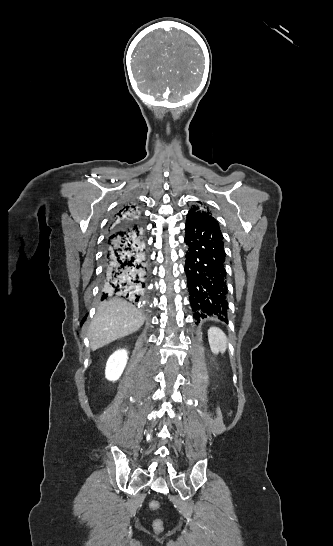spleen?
I'll return each mask as SVG.
<instances>
[{
	"mask_svg": "<svg viewBox=\"0 0 333 546\" xmlns=\"http://www.w3.org/2000/svg\"><path fill=\"white\" fill-rule=\"evenodd\" d=\"M208 340L213 353H225L227 349V336L221 329L218 327H211L208 330Z\"/></svg>",
	"mask_w": 333,
	"mask_h": 546,
	"instance_id": "3e777b00",
	"label": "spleen"
}]
</instances>
